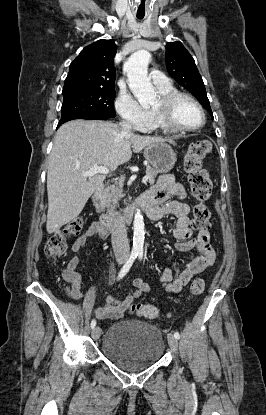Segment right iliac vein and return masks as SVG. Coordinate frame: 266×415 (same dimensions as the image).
Instances as JSON below:
<instances>
[{
    "instance_id": "1",
    "label": "right iliac vein",
    "mask_w": 266,
    "mask_h": 415,
    "mask_svg": "<svg viewBox=\"0 0 266 415\" xmlns=\"http://www.w3.org/2000/svg\"><path fill=\"white\" fill-rule=\"evenodd\" d=\"M119 264H123L124 260L123 259H119L118 260ZM93 339L97 340L99 339L100 335H101V329L99 327H94L91 333Z\"/></svg>"
}]
</instances>
